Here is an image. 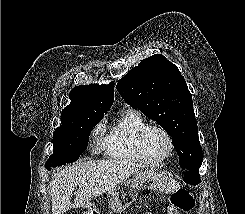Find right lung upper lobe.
<instances>
[{
	"instance_id": "cb5924a9",
	"label": "right lung upper lobe",
	"mask_w": 245,
	"mask_h": 214,
	"mask_svg": "<svg viewBox=\"0 0 245 214\" xmlns=\"http://www.w3.org/2000/svg\"><path fill=\"white\" fill-rule=\"evenodd\" d=\"M114 83L76 86L70 93L71 103L62 110L61 125L54 133L69 127L75 118L91 113H106L113 104Z\"/></svg>"
}]
</instances>
